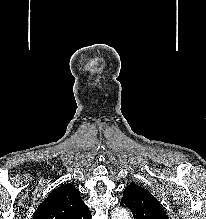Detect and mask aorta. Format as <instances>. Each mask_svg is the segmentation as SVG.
Listing matches in <instances>:
<instances>
[{"mask_svg":"<svg viewBox=\"0 0 206 219\" xmlns=\"http://www.w3.org/2000/svg\"><path fill=\"white\" fill-rule=\"evenodd\" d=\"M111 219H131L129 212L124 208H116Z\"/></svg>","mask_w":206,"mask_h":219,"instance_id":"obj_1","label":"aorta"}]
</instances>
